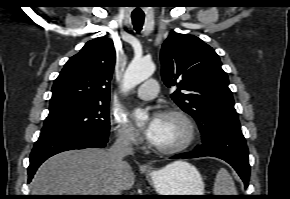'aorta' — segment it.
<instances>
[{
  "mask_svg": "<svg viewBox=\"0 0 290 199\" xmlns=\"http://www.w3.org/2000/svg\"><path fill=\"white\" fill-rule=\"evenodd\" d=\"M155 71V65L151 61L143 59H133L126 69L122 90L127 92L138 84L148 79ZM148 119L145 112H136V124L141 126Z\"/></svg>",
  "mask_w": 290,
  "mask_h": 199,
  "instance_id": "762f6f07",
  "label": "aorta"
}]
</instances>
